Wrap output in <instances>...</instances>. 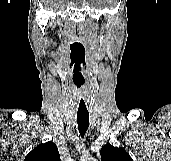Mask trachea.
Instances as JSON below:
<instances>
[{
  "label": "trachea",
  "mask_w": 171,
  "mask_h": 161,
  "mask_svg": "<svg viewBox=\"0 0 171 161\" xmlns=\"http://www.w3.org/2000/svg\"><path fill=\"white\" fill-rule=\"evenodd\" d=\"M77 123L79 133L84 137L89 127V112H77Z\"/></svg>",
  "instance_id": "1"
}]
</instances>
